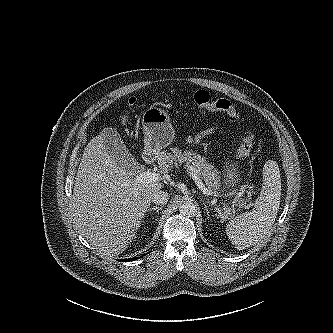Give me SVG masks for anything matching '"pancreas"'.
<instances>
[{
	"label": "pancreas",
	"instance_id": "pancreas-1",
	"mask_svg": "<svg viewBox=\"0 0 333 333\" xmlns=\"http://www.w3.org/2000/svg\"><path fill=\"white\" fill-rule=\"evenodd\" d=\"M158 167L167 172L173 165L178 166L183 162L192 164L202 175L206 186L211 190L219 189L220 176L217 169L206 161V158L193 151H182L178 148H171V152L166 150L159 152L157 155Z\"/></svg>",
	"mask_w": 333,
	"mask_h": 333
}]
</instances>
